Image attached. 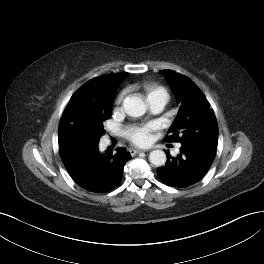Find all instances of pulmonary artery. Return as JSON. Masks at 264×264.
<instances>
[{
    "instance_id": "obj_1",
    "label": "pulmonary artery",
    "mask_w": 264,
    "mask_h": 264,
    "mask_svg": "<svg viewBox=\"0 0 264 264\" xmlns=\"http://www.w3.org/2000/svg\"><path fill=\"white\" fill-rule=\"evenodd\" d=\"M167 98L163 95H153L148 99V104L152 113H160L166 106Z\"/></svg>"
}]
</instances>
